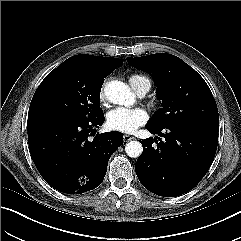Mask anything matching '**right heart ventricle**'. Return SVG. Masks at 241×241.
<instances>
[{
	"instance_id": "obj_1",
	"label": "right heart ventricle",
	"mask_w": 241,
	"mask_h": 241,
	"mask_svg": "<svg viewBox=\"0 0 241 241\" xmlns=\"http://www.w3.org/2000/svg\"><path fill=\"white\" fill-rule=\"evenodd\" d=\"M129 83L131 87L137 91L140 87L148 85L151 87V81L148 77L142 74H132L129 76Z\"/></svg>"
}]
</instances>
